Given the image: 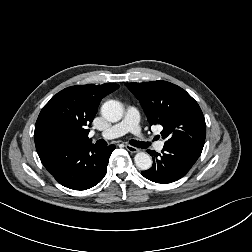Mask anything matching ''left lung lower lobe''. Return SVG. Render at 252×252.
<instances>
[{"label": "left lung lower lobe", "instance_id": "1", "mask_svg": "<svg viewBox=\"0 0 252 252\" xmlns=\"http://www.w3.org/2000/svg\"><path fill=\"white\" fill-rule=\"evenodd\" d=\"M153 166L141 174L150 181L166 184L179 180L191 169L202 150L190 146H165L161 154L148 150Z\"/></svg>", "mask_w": 252, "mask_h": 252}]
</instances>
